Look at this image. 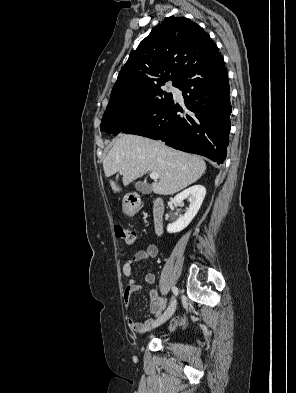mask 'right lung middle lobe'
Segmentation results:
<instances>
[{"mask_svg": "<svg viewBox=\"0 0 296 393\" xmlns=\"http://www.w3.org/2000/svg\"><path fill=\"white\" fill-rule=\"evenodd\" d=\"M164 84L156 85L128 99L109 102L103 115L101 130L118 134L157 112L173 97L171 93L161 89Z\"/></svg>", "mask_w": 296, "mask_h": 393, "instance_id": "right-lung-middle-lobe-1", "label": "right lung middle lobe"}]
</instances>
